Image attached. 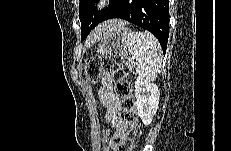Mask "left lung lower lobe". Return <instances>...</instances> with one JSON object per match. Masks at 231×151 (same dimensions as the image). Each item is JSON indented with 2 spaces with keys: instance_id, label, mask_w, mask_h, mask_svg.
<instances>
[{
  "instance_id": "left-lung-lower-lobe-1",
  "label": "left lung lower lobe",
  "mask_w": 231,
  "mask_h": 151,
  "mask_svg": "<svg viewBox=\"0 0 231 151\" xmlns=\"http://www.w3.org/2000/svg\"><path fill=\"white\" fill-rule=\"evenodd\" d=\"M113 18L124 19L150 31L160 42L163 53L166 52L169 37L168 0H118L100 22Z\"/></svg>"
}]
</instances>
